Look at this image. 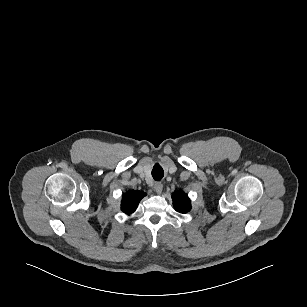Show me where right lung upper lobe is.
<instances>
[{
	"mask_svg": "<svg viewBox=\"0 0 307 307\" xmlns=\"http://www.w3.org/2000/svg\"><path fill=\"white\" fill-rule=\"evenodd\" d=\"M146 195L141 191H128L122 197L121 209L126 214L133 213L140 200Z\"/></svg>",
	"mask_w": 307,
	"mask_h": 307,
	"instance_id": "obj_1",
	"label": "right lung upper lobe"
}]
</instances>
